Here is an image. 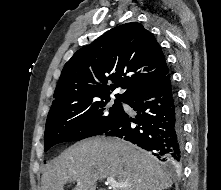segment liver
<instances>
[{"label":"liver","mask_w":221,"mask_h":190,"mask_svg":"<svg viewBox=\"0 0 221 190\" xmlns=\"http://www.w3.org/2000/svg\"><path fill=\"white\" fill-rule=\"evenodd\" d=\"M114 178L126 187L113 190L169 189L171 178L153 157L137 146L117 139L94 137L78 142L55 158L41 178V190H96L98 180Z\"/></svg>","instance_id":"liver-1"}]
</instances>
